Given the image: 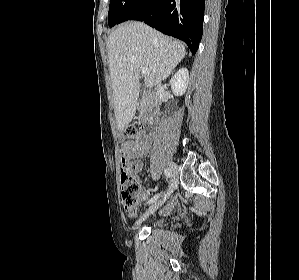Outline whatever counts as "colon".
<instances>
[{
	"label": "colon",
	"mask_w": 299,
	"mask_h": 280,
	"mask_svg": "<svg viewBox=\"0 0 299 280\" xmlns=\"http://www.w3.org/2000/svg\"><path fill=\"white\" fill-rule=\"evenodd\" d=\"M139 137V130L134 125H129L120 132L122 146L137 141ZM120 181L123 207L131 217H136L141 202L140 192L142 184L136 175L134 164H131L125 156H122L121 159Z\"/></svg>",
	"instance_id": "5ec220e1"
}]
</instances>
